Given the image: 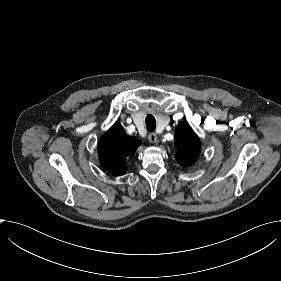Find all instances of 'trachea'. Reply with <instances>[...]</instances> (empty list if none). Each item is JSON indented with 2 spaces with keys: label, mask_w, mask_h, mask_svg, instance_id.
Returning a JSON list of instances; mask_svg holds the SVG:
<instances>
[{
  "label": "trachea",
  "mask_w": 281,
  "mask_h": 281,
  "mask_svg": "<svg viewBox=\"0 0 281 281\" xmlns=\"http://www.w3.org/2000/svg\"><path fill=\"white\" fill-rule=\"evenodd\" d=\"M146 128L149 132H153L156 127L155 117L151 114L147 115L145 118Z\"/></svg>",
  "instance_id": "3493384b"
}]
</instances>
